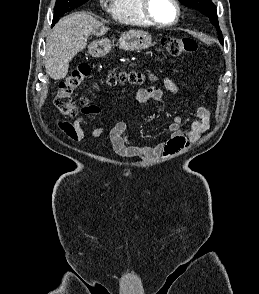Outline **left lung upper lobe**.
Here are the masks:
<instances>
[{"label":"left lung upper lobe","mask_w":259,"mask_h":294,"mask_svg":"<svg viewBox=\"0 0 259 294\" xmlns=\"http://www.w3.org/2000/svg\"><path fill=\"white\" fill-rule=\"evenodd\" d=\"M183 5L199 10L204 15L208 16L211 23L217 28L218 39L223 44V36L218 25L217 10L211 0H179Z\"/></svg>","instance_id":"left-lung-upper-lobe-1"}]
</instances>
